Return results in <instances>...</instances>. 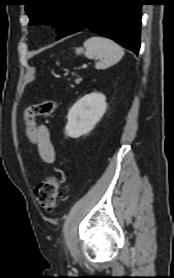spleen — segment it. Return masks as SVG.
I'll return each mask as SVG.
<instances>
[{"instance_id": "1", "label": "spleen", "mask_w": 174, "mask_h": 278, "mask_svg": "<svg viewBox=\"0 0 174 278\" xmlns=\"http://www.w3.org/2000/svg\"><path fill=\"white\" fill-rule=\"evenodd\" d=\"M78 54H84L89 59L96 60V69H106L124 56V51L113 40L94 36L84 42V47L76 50ZM99 60V61H98Z\"/></svg>"}]
</instances>
